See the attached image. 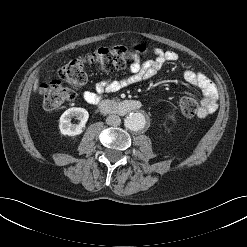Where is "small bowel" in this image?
Here are the masks:
<instances>
[{
    "label": "small bowel",
    "instance_id": "c3829d8e",
    "mask_svg": "<svg viewBox=\"0 0 247 247\" xmlns=\"http://www.w3.org/2000/svg\"><path fill=\"white\" fill-rule=\"evenodd\" d=\"M153 60L141 63L136 58L129 67V73L121 79H110L96 84L93 91H85L83 99L89 103L100 101L105 94L114 93L133 84L154 78L166 62H175L179 56L175 51L155 49ZM185 81L198 89L202 95L198 116L204 118L212 114L217 107L218 91L214 83L203 73L186 68L183 72Z\"/></svg>",
    "mask_w": 247,
    "mask_h": 247
}]
</instances>
